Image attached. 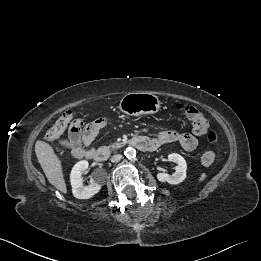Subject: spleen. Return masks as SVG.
<instances>
[{"label": "spleen", "instance_id": "spleen-1", "mask_svg": "<svg viewBox=\"0 0 261 261\" xmlns=\"http://www.w3.org/2000/svg\"><path fill=\"white\" fill-rule=\"evenodd\" d=\"M207 175L205 173H202L200 178H199V182H202L206 179Z\"/></svg>", "mask_w": 261, "mask_h": 261}]
</instances>
